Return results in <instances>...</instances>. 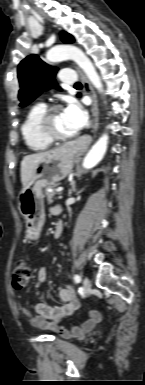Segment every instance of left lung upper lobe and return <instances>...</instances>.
<instances>
[{"label": "left lung upper lobe", "mask_w": 145, "mask_h": 385, "mask_svg": "<svg viewBox=\"0 0 145 385\" xmlns=\"http://www.w3.org/2000/svg\"><path fill=\"white\" fill-rule=\"evenodd\" d=\"M61 39L64 43L74 41L67 32L61 33ZM56 71L57 68L44 63L38 55L32 54L23 59L18 66L20 106L28 105L43 91L57 87L54 79Z\"/></svg>", "instance_id": "obj_1"}]
</instances>
